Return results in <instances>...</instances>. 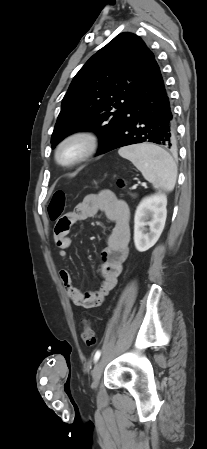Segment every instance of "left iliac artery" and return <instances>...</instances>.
<instances>
[{
	"mask_svg": "<svg viewBox=\"0 0 207 449\" xmlns=\"http://www.w3.org/2000/svg\"><path fill=\"white\" fill-rule=\"evenodd\" d=\"M100 356H101V351H100V350H97L96 353H95V355H94V361H95V362L98 361V359L100 358Z\"/></svg>",
	"mask_w": 207,
	"mask_h": 449,
	"instance_id": "44dca946",
	"label": "left iliac artery"
}]
</instances>
